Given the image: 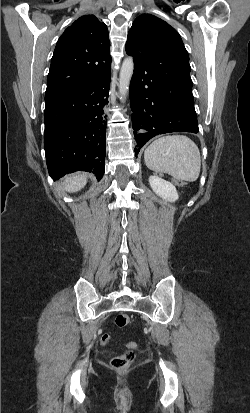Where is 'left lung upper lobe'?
Segmentation results:
<instances>
[{"instance_id":"obj_1","label":"left lung upper lobe","mask_w":250,"mask_h":413,"mask_svg":"<svg viewBox=\"0 0 250 413\" xmlns=\"http://www.w3.org/2000/svg\"><path fill=\"white\" fill-rule=\"evenodd\" d=\"M142 48L147 53L151 72L191 81L187 50L178 32L168 23L150 14L137 17L128 33L126 51Z\"/></svg>"}]
</instances>
